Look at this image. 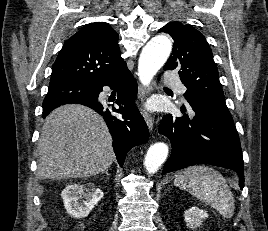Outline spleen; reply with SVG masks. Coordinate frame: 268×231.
<instances>
[{"label":"spleen","mask_w":268,"mask_h":231,"mask_svg":"<svg viewBox=\"0 0 268 231\" xmlns=\"http://www.w3.org/2000/svg\"><path fill=\"white\" fill-rule=\"evenodd\" d=\"M174 184L215 208L224 218L233 216V194L225 178L214 169L203 165L188 167L177 175Z\"/></svg>","instance_id":"spleen-1"}]
</instances>
